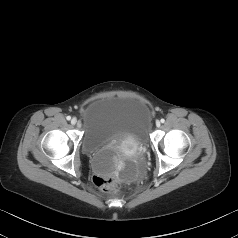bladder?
I'll return each mask as SVG.
<instances>
[{
    "label": "bladder",
    "mask_w": 238,
    "mask_h": 238,
    "mask_svg": "<svg viewBox=\"0 0 238 238\" xmlns=\"http://www.w3.org/2000/svg\"><path fill=\"white\" fill-rule=\"evenodd\" d=\"M150 119L149 105L135 96L106 95L87 103L81 112V146L93 170L100 174L113 173L115 147L124 142L144 146Z\"/></svg>",
    "instance_id": "obj_1"
}]
</instances>
